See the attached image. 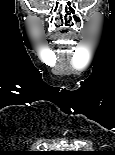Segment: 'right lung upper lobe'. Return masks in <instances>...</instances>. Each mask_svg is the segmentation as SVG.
<instances>
[{"instance_id": "cb5924a9", "label": "right lung upper lobe", "mask_w": 115, "mask_h": 155, "mask_svg": "<svg viewBox=\"0 0 115 155\" xmlns=\"http://www.w3.org/2000/svg\"><path fill=\"white\" fill-rule=\"evenodd\" d=\"M36 155H50V154L47 152H38Z\"/></svg>"}]
</instances>
